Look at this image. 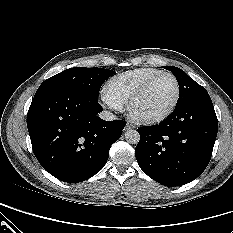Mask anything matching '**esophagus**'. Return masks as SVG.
Listing matches in <instances>:
<instances>
[{
    "mask_svg": "<svg viewBox=\"0 0 233 233\" xmlns=\"http://www.w3.org/2000/svg\"><path fill=\"white\" fill-rule=\"evenodd\" d=\"M134 128V125L130 124V123H127L126 126H125V130H129V129H132Z\"/></svg>",
    "mask_w": 233,
    "mask_h": 233,
    "instance_id": "esophagus-1",
    "label": "esophagus"
}]
</instances>
